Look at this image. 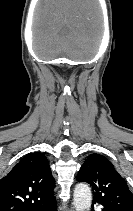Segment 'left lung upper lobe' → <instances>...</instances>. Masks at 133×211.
Returning <instances> with one entry per match:
<instances>
[{
    "label": "left lung upper lobe",
    "instance_id": "1",
    "mask_svg": "<svg viewBox=\"0 0 133 211\" xmlns=\"http://www.w3.org/2000/svg\"><path fill=\"white\" fill-rule=\"evenodd\" d=\"M76 179L92 187L93 203L100 204L105 211H133V194L106 157L91 154Z\"/></svg>",
    "mask_w": 133,
    "mask_h": 211
}]
</instances>
